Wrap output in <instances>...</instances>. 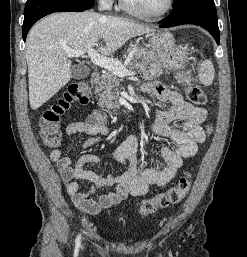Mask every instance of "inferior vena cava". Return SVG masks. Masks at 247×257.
<instances>
[{
	"instance_id": "1",
	"label": "inferior vena cava",
	"mask_w": 247,
	"mask_h": 257,
	"mask_svg": "<svg viewBox=\"0 0 247 257\" xmlns=\"http://www.w3.org/2000/svg\"><path fill=\"white\" fill-rule=\"evenodd\" d=\"M100 10H103V6L102 4L100 3V7H99Z\"/></svg>"
}]
</instances>
